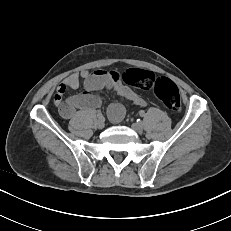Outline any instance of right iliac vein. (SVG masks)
<instances>
[{
	"label": "right iliac vein",
	"mask_w": 231,
	"mask_h": 231,
	"mask_svg": "<svg viewBox=\"0 0 231 231\" xmlns=\"http://www.w3.org/2000/svg\"><path fill=\"white\" fill-rule=\"evenodd\" d=\"M96 125L99 129L104 128V121L102 119H98Z\"/></svg>",
	"instance_id": "1"
}]
</instances>
